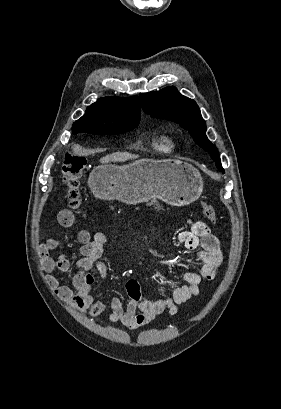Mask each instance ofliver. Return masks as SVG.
Segmentation results:
<instances>
[{"mask_svg":"<svg viewBox=\"0 0 281 409\" xmlns=\"http://www.w3.org/2000/svg\"><path fill=\"white\" fill-rule=\"evenodd\" d=\"M129 158H138V154H130V152H113V154H107L100 158V162H124Z\"/></svg>","mask_w":281,"mask_h":409,"instance_id":"obj_1","label":"liver"}]
</instances>
